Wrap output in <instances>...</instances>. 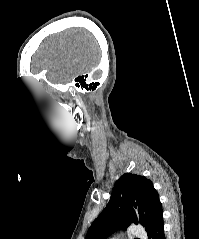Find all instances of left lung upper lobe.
Listing matches in <instances>:
<instances>
[{
    "label": "left lung upper lobe",
    "mask_w": 199,
    "mask_h": 239,
    "mask_svg": "<svg viewBox=\"0 0 199 239\" xmlns=\"http://www.w3.org/2000/svg\"><path fill=\"white\" fill-rule=\"evenodd\" d=\"M162 210L159 195L145 176L126 173L116 181L106 208L89 228L86 239H106L117 228L141 224L145 229Z\"/></svg>",
    "instance_id": "5c2ea615"
}]
</instances>
